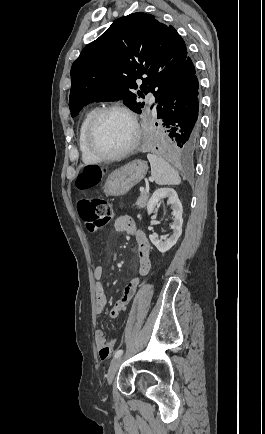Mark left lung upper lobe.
I'll use <instances>...</instances> for the list:
<instances>
[{
	"mask_svg": "<svg viewBox=\"0 0 265 434\" xmlns=\"http://www.w3.org/2000/svg\"><path fill=\"white\" fill-rule=\"evenodd\" d=\"M187 57L175 28L153 15L137 12L115 20L71 67V116L91 102L114 100L141 113L143 104L131 91L138 87L135 80H143L139 97L152 92L158 101Z\"/></svg>",
	"mask_w": 265,
	"mask_h": 434,
	"instance_id": "1",
	"label": "left lung upper lobe"
}]
</instances>
